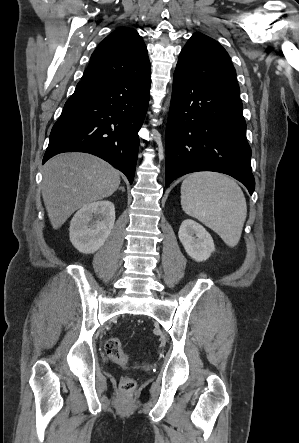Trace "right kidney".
Listing matches in <instances>:
<instances>
[{"label": "right kidney", "mask_w": 299, "mask_h": 443, "mask_svg": "<svg viewBox=\"0 0 299 443\" xmlns=\"http://www.w3.org/2000/svg\"><path fill=\"white\" fill-rule=\"evenodd\" d=\"M115 222V207L110 201H97L83 206L70 222L69 235L81 253L91 254L107 240Z\"/></svg>", "instance_id": "ca27d5eb"}]
</instances>
